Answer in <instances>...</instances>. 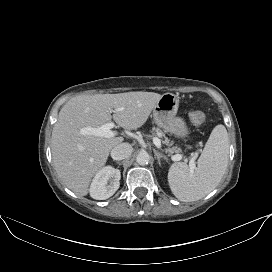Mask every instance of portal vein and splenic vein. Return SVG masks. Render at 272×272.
<instances>
[{
	"label": "portal vein and splenic vein",
	"instance_id": "portal-vein-and-splenic-vein-1",
	"mask_svg": "<svg viewBox=\"0 0 272 272\" xmlns=\"http://www.w3.org/2000/svg\"><path fill=\"white\" fill-rule=\"evenodd\" d=\"M116 110L120 111L121 109H116ZM114 127H115V124L113 122H107V123H105L99 127H96V128L85 127L83 129H81V133L86 134V135H94V136L110 138V137L115 136V132L111 130ZM153 143L155 144V146L157 148H159V149L161 148V141L159 138H157V137L153 138ZM181 158H182V155L177 154L172 157V160L179 161V160H181ZM189 166L192 171H194L196 169L194 158H192L189 161Z\"/></svg>",
	"mask_w": 272,
	"mask_h": 272
}]
</instances>
